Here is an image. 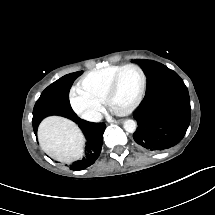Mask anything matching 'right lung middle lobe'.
I'll return each mask as SVG.
<instances>
[{"mask_svg":"<svg viewBox=\"0 0 215 215\" xmlns=\"http://www.w3.org/2000/svg\"><path fill=\"white\" fill-rule=\"evenodd\" d=\"M81 74H68L48 86L37 100L33 110V120L49 115L75 117L69 102V90L74 80Z\"/></svg>","mask_w":215,"mask_h":215,"instance_id":"1","label":"right lung middle lobe"}]
</instances>
